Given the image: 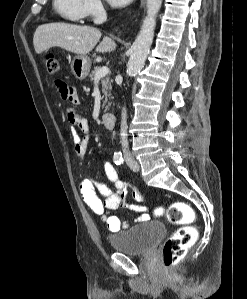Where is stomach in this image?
Wrapping results in <instances>:
<instances>
[{
    "label": "stomach",
    "instance_id": "1",
    "mask_svg": "<svg viewBox=\"0 0 247 299\" xmlns=\"http://www.w3.org/2000/svg\"><path fill=\"white\" fill-rule=\"evenodd\" d=\"M91 68V60L85 55H77L71 62V71L73 75L80 80L85 79Z\"/></svg>",
    "mask_w": 247,
    "mask_h": 299
}]
</instances>
